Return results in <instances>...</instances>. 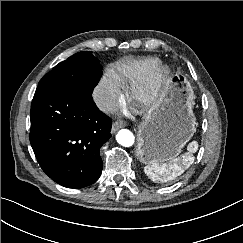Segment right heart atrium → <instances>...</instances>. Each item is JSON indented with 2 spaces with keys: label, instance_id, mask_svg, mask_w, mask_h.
Instances as JSON below:
<instances>
[{
  "label": "right heart atrium",
  "instance_id": "d8ad5b80",
  "mask_svg": "<svg viewBox=\"0 0 243 243\" xmlns=\"http://www.w3.org/2000/svg\"><path fill=\"white\" fill-rule=\"evenodd\" d=\"M122 96L121 88L108 76L101 77L95 89V102L98 108L107 112L110 111Z\"/></svg>",
  "mask_w": 243,
  "mask_h": 243
}]
</instances>
